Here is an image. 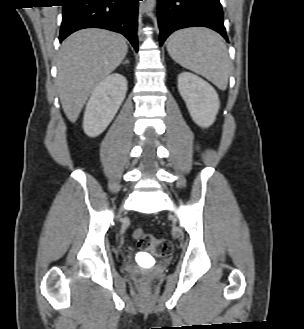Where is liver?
Here are the masks:
<instances>
[{
    "mask_svg": "<svg viewBox=\"0 0 304 329\" xmlns=\"http://www.w3.org/2000/svg\"><path fill=\"white\" fill-rule=\"evenodd\" d=\"M122 35L104 29H83L65 39L57 57V87L63 111L75 122L96 86L124 60Z\"/></svg>",
    "mask_w": 304,
    "mask_h": 329,
    "instance_id": "6515ba94",
    "label": "liver"
}]
</instances>
